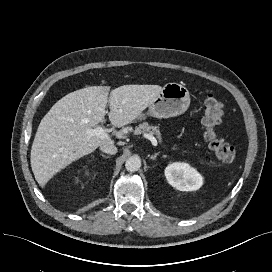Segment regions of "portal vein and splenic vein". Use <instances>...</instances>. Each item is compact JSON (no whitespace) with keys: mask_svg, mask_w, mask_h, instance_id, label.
I'll return each mask as SVG.
<instances>
[{"mask_svg":"<svg viewBox=\"0 0 272 272\" xmlns=\"http://www.w3.org/2000/svg\"><path fill=\"white\" fill-rule=\"evenodd\" d=\"M86 134L90 137L97 136L100 138H108V134L106 133V130L102 126H97L94 129H88L86 131ZM144 137L151 141L153 146H157V140L153 135L150 134H144Z\"/></svg>","mask_w":272,"mask_h":272,"instance_id":"portal-vein-and-splenic-vein-1","label":"portal vein and splenic vein"}]
</instances>
